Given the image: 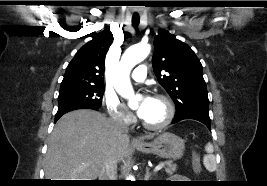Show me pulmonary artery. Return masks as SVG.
<instances>
[{"label":"pulmonary artery","mask_w":267,"mask_h":186,"mask_svg":"<svg viewBox=\"0 0 267 186\" xmlns=\"http://www.w3.org/2000/svg\"><path fill=\"white\" fill-rule=\"evenodd\" d=\"M147 75V67L145 65H138L132 72L131 76L136 81H142Z\"/></svg>","instance_id":"obj_1"}]
</instances>
